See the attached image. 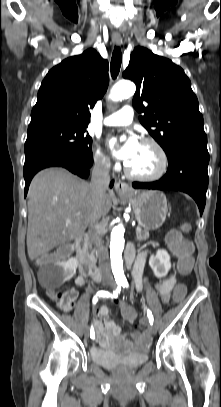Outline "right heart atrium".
I'll return each mask as SVG.
<instances>
[{
	"label": "right heart atrium",
	"instance_id": "1",
	"mask_svg": "<svg viewBox=\"0 0 221 407\" xmlns=\"http://www.w3.org/2000/svg\"><path fill=\"white\" fill-rule=\"evenodd\" d=\"M94 164L101 171H108L113 167L110 159L100 149L94 153Z\"/></svg>",
	"mask_w": 221,
	"mask_h": 407
}]
</instances>
